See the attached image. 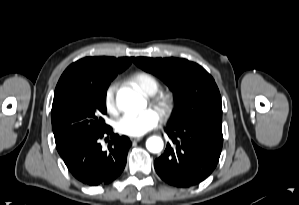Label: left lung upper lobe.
<instances>
[{"mask_svg":"<svg viewBox=\"0 0 299 205\" xmlns=\"http://www.w3.org/2000/svg\"><path fill=\"white\" fill-rule=\"evenodd\" d=\"M135 64L158 76L174 93L176 110L170 124L222 117V103L212 76L200 65L179 58L137 57Z\"/></svg>","mask_w":299,"mask_h":205,"instance_id":"1","label":"left lung upper lobe"}]
</instances>
